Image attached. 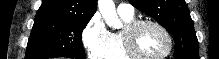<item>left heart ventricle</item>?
Segmentation results:
<instances>
[{
	"label": "left heart ventricle",
	"mask_w": 219,
	"mask_h": 59,
	"mask_svg": "<svg viewBox=\"0 0 219 59\" xmlns=\"http://www.w3.org/2000/svg\"><path fill=\"white\" fill-rule=\"evenodd\" d=\"M136 47L146 57H157L164 54L168 43L163 33L151 25H145L136 34Z\"/></svg>",
	"instance_id": "left-heart-ventricle-1"
}]
</instances>
